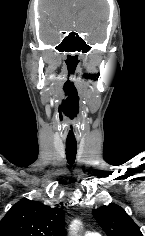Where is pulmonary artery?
I'll return each mask as SVG.
<instances>
[{"mask_svg":"<svg viewBox=\"0 0 145 236\" xmlns=\"http://www.w3.org/2000/svg\"><path fill=\"white\" fill-rule=\"evenodd\" d=\"M84 236H100V235L95 232H87Z\"/></svg>","mask_w":145,"mask_h":236,"instance_id":"obj_1","label":"pulmonary artery"}]
</instances>
